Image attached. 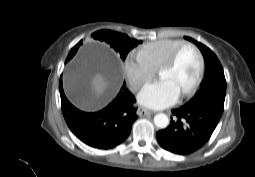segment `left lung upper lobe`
<instances>
[{"label":"left lung upper lobe","instance_id":"1","mask_svg":"<svg viewBox=\"0 0 255 177\" xmlns=\"http://www.w3.org/2000/svg\"><path fill=\"white\" fill-rule=\"evenodd\" d=\"M198 46L205 61V78L196 95L184 106H213L223 111L226 95V80L222 65L216 55L205 45L185 37Z\"/></svg>","mask_w":255,"mask_h":177}]
</instances>
